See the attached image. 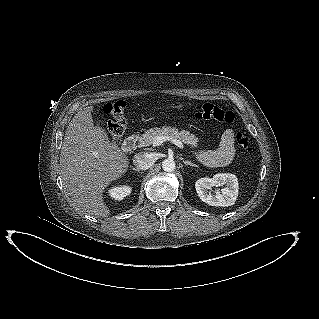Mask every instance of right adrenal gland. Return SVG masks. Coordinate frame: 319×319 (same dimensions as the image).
Returning a JSON list of instances; mask_svg holds the SVG:
<instances>
[{"label": "right adrenal gland", "mask_w": 319, "mask_h": 319, "mask_svg": "<svg viewBox=\"0 0 319 319\" xmlns=\"http://www.w3.org/2000/svg\"><path fill=\"white\" fill-rule=\"evenodd\" d=\"M132 170L135 171V172H138V173H142V172H140V170L137 169V168H132Z\"/></svg>", "instance_id": "2a0ac1e0"}]
</instances>
